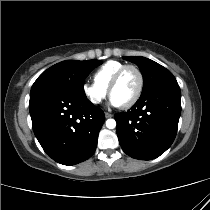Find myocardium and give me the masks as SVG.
I'll return each mask as SVG.
<instances>
[{"label": "myocardium", "mask_w": 210, "mask_h": 210, "mask_svg": "<svg viewBox=\"0 0 210 210\" xmlns=\"http://www.w3.org/2000/svg\"><path fill=\"white\" fill-rule=\"evenodd\" d=\"M127 69H133L136 71V73L138 74V77H139V86H138L137 92L134 95V97L127 103L120 105V107L123 109L130 108L139 101V99L141 98V96L143 94L144 86H145V78H144V75H143V72L141 71V69L133 64H125L118 69V71L115 73V75L113 76V78L109 84L108 93L110 96L112 95V91L117 86L118 82L120 81L122 74Z\"/></svg>", "instance_id": "1"}]
</instances>
